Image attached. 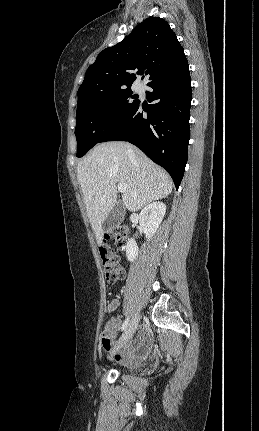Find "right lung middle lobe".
Instances as JSON below:
<instances>
[{"label": "right lung middle lobe", "instance_id": "obj_1", "mask_svg": "<svg viewBox=\"0 0 259 431\" xmlns=\"http://www.w3.org/2000/svg\"><path fill=\"white\" fill-rule=\"evenodd\" d=\"M139 103L131 88L87 97L77 105V157L84 156Z\"/></svg>", "mask_w": 259, "mask_h": 431}]
</instances>
